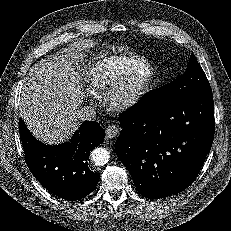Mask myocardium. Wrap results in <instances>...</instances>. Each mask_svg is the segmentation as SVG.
I'll return each mask as SVG.
<instances>
[{
  "mask_svg": "<svg viewBox=\"0 0 231 231\" xmlns=\"http://www.w3.org/2000/svg\"><path fill=\"white\" fill-rule=\"evenodd\" d=\"M143 69L147 70L145 80L137 86H133L134 77ZM154 78L155 72L152 65L146 60H141L107 91L105 102L108 108L112 112L121 113L134 107L151 89Z\"/></svg>",
  "mask_w": 231,
  "mask_h": 231,
  "instance_id": "myocardium-1",
  "label": "myocardium"
}]
</instances>
